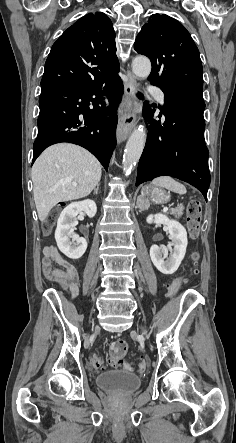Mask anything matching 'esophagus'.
Returning a JSON list of instances; mask_svg holds the SVG:
<instances>
[{"mask_svg":"<svg viewBox=\"0 0 236 443\" xmlns=\"http://www.w3.org/2000/svg\"><path fill=\"white\" fill-rule=\"evenodd\" d=\"M127 78L128 81L124 87L125 95L128 98H133L138 84L135 76L130 71L127 72ZM136 117L137 113L135 110H128L122 113L119 118L116 132L118 143L123 142L130 135L132 129L135 126Z\"/></svg>","mask_w":236,"mask_h":443,"instance_id":"1","label":"esophagus"}]
</instances>
